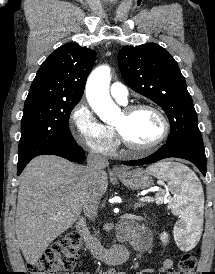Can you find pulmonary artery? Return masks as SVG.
<instances>
[{
    "mask_svg": "<svg viewBox=\"0 0 215 274\" xmlns=\"http://www.w3.org/2000/svg\"><path fill=\"white\" fill-rule=\"evenodd\" d=\"M111 96L119 103L125 104L128 99V90L120 82H114L110 87Z\"/></svg>",
    "mask_w": 215,
    "mask_h": 274,
    "instance_id": "1",
    "label": "pulmonary artery"
}]
</instances>
